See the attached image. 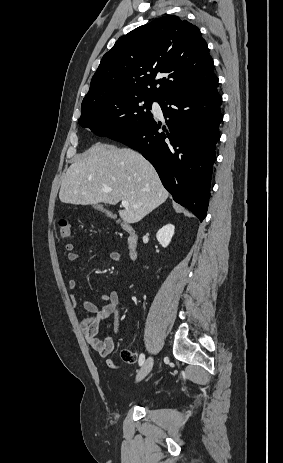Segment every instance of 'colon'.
Instances as JSON below:
<instances>
[{"label": "colon", "mask_w": 283, "mask_h": 463, "mask_svg": "<svg viewBox=\"0 0 283 463\" xmlns=\"http://www.w3.org/2000/svg\"><path fill=\"white\" fill-rule=\"evenodd\" d=\"M58 232L61 238H69L72 235L71 225L67 219L62 218L58 221ZM122 357L127 363L136 361V354L130 351H123Z\"/></svg>", "instance_id": "5ec220e1"}]
</instances>
